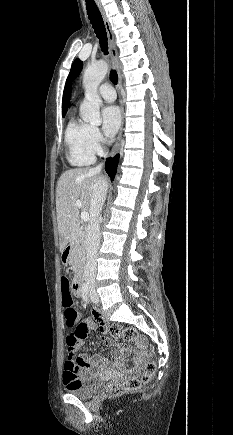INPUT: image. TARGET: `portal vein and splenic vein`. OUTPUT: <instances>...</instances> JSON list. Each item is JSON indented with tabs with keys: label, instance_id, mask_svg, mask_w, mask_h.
Returning a JSON list of instances; mask_svg holds the SVG:
<instances>
[{
	"label": "portal vein and splenic vein",
	"instance_id": "obj_1",
	"mask_svg": "<svg viewBox=\"0 0 233 435\" xmlns=\"http://www.w3.org/2000/svg\"><path fill=\"white\" fill-rule=\"evenodd\" d=\"M76 205L79 208H81L82 207V202L80 200H77L76 201ZM81 219H82V221L87 222L89 220V214H88V212H82L81 213Z\"/></svg>",
	"mask_w": 233,
	"mask_h": 435
}]
</instances>
